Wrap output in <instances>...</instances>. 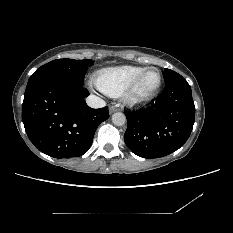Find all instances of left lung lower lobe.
Here are the masks:
<instances>
[{
    "label": "left lung lower lobe",
    "mask_w": 233,
    "mask_h": 233,
    "mask_svg": "<svg viewBox=\"0 0 233 233\" xmlns=\"http://www.w3.org/2000/svg\"><path fill=\"white\" fill-rule=\"evenodd\" d=\"M124 112L127 147L143 158L166 156L178 150L191 134L195 120L191 87L179 77L166 84L151 106Z\"/></svg>",
    "instance_id": "1"
}]
</instances>
